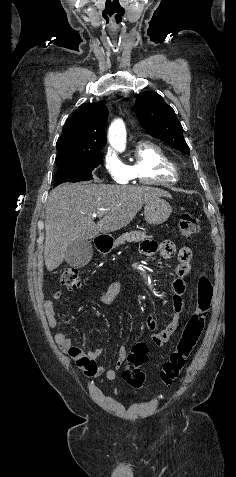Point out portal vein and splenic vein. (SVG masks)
Segmentation results:
<instances>
[{"instance_id":"portal-vein-and-splenic-vein-1","label":"portal vein and splenic vein","mask_w":236,"mask_h":477,"mask_svg":"<svg viewBox=\"0 0 236 477\" xmlns=\"http://www.w3.org/2000/svg\"><path fill=\"white\" fill-rule=\"evenodd\" d=\"M105 211H106V210L103 209L102 212L94 213V214H92V217H93V218H95V217H99V218H100V217H102V216L104 215Z\"/></svg>"}]
</instances>
